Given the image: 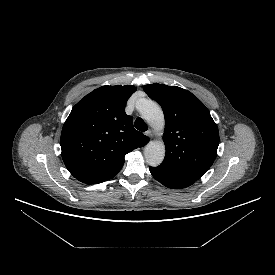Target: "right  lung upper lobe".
I'll return each instance as SVG.
<instances>
[{"label":"right lung upper lobe","instance_id":"obj_1","mask_svg":"<svg viewBox=\"0 0 275 275\" xmlns=\"http://www.w3.org/2000/svg\"><path fill=\"white\" fill-rule=\"evenodd\" d=\"M135 91L134 86H102L72 108L60 144L64 164L77 180L97 184L113 178L125 154L149 142L125 113Z\"/></svg>","mask_w":275,"mask_h":275}]
</instances>
